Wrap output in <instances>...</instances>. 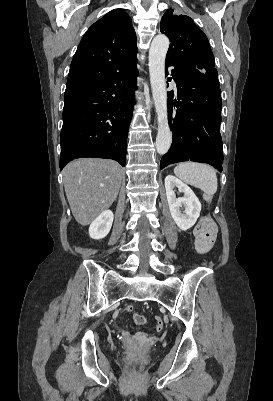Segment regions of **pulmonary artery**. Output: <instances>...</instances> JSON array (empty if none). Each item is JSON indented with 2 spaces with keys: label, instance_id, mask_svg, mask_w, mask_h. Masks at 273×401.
I'll list each match as a JSON object with an SVG mask.
<instances>
[{
  "label": "pulmonary artery",
  "instance_id": "1",
  "mask_svg": "<svg viewBox=\"0 0 273 401\" xmlns=\"http://www.w3.org/2000/svg\"><path fill=\"white\" fill-rule=\"evenodd\" d=\"M166 69H167V71L172 72V71H174L175 66H174V64L169 63V64H167Z\"/></svg>",
  "mask_w": 273,
  "mask_h": 401
}]
</instances>
